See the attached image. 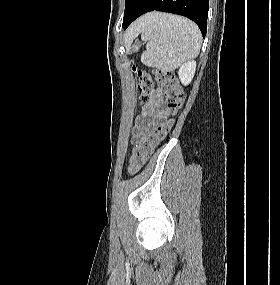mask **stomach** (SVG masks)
Masks as SVG:
<instances>
[{"instance_id":"0dacf381","label":"stomach","mask_w":280,"mask_h":285,"mask_svg":"<svg viewBox=\"0 0 280 285\" xmlns=\"http://www.w3.org/2000/svg\"><path fill=\"white\" fill-rule=\"evenodd\" d=\"M139 48H140V43H139V42H135V43L132 45V50H133V52L138 51Z\"/></svg>"}]
</instances>
